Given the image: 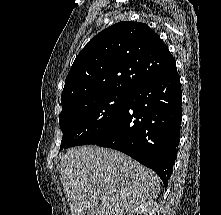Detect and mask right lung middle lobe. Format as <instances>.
Returning a JSON list of instances; mask_svg holds the SVG:
<instances>
[{
    "instance_id": "1",
    "label": "right lung middle lobe",
    "mask_w": 221,
    "mask_h": 215,
    "mask_svg": "<svg viewBox=\"0 0 221 215\" xmlns=\"http://www.w3.org/2000/svg\"><path fill=\"white\" fill-rule=\"evenodd\" d=\"M128 94L109 93L74 102L59 116L61 149L90 144L111 129L121 116Z\"/></svg>"
}]
</instances>
